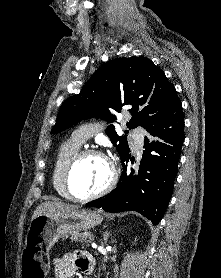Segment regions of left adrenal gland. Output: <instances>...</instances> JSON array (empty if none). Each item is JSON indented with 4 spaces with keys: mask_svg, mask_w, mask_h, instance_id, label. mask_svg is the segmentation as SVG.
Segmentation results:
<instances>
[{
    "mask_svg": "<svg viewBox=\"0 0 221 278\" xmlns=\"http://www.w3.org/2000/svg\"><path fill=\"white\" fill-rule=\"evenodd\" d=\"M109 235H110V233H109L108 231H106V232L104 233V241H105V242H107Z\"/></svg>",
    "mask_w": 221,
    "mask_h": 278,
    "instance_id": "obj_1",
    "label": "left adrenal gland"
}]
</instances>
